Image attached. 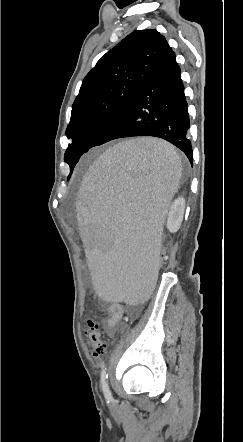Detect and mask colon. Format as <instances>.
<instances>
[{"mask_svg":"<svg viewBox=\"0 0 243 442\" xmlns=\"http://www.w3.org/2000/svg\"><path fill=\"white\" fill-rule=\"evenodd\" d=\"M169 242L170 239L168 237L162 238L163 244H168ZM165 251H167V248H164V251H161L159 253V256L161 258H165L167 256V253ZM85 335L94 356L98 357L106 352L107 344L104 338L101 325L97 320L89 319L87 321V325L85 328Z\"/></svg>","mask_w":243,"mask_h":442,"instance_id":"1","label":"colon"}]
</instances>
